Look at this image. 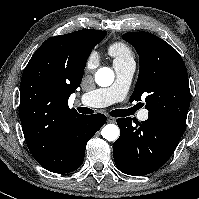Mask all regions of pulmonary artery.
<instances>
[{
	"label": "pulmonary artery",
	"instance_id": "pulmonary-artery-1",
	"mask_svg": "<svg viewBox=\"0 0 199 199\" xmlns=\"http://www.w3.org/2000/svg\"><path fill=\"white\" fill-rule=\"evenodd\" d=\"M114 69L116 72L115 82L107 88L82 94L81 102L83 104L87 106L105 107L125 98L135 72V62L133 60L115 62ZM148 117L149 112L146 109L138 113V118L141 121H146Z\"/></svg>",
	"mask_w": 199,
	"mask_h": 199
}]
</instances>
